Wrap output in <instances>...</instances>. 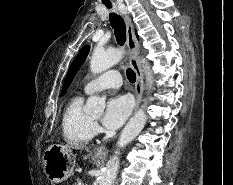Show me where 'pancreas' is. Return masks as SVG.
Masks as SVG:
<instances>
[{"label": "pancreas", "instance_id": "pancreas-1", "mask_svg": "<svg viewBox=\"0 0 233 185\" xmlns=\"http://www.w3.org/2000/svg\"><path fill=\"white\" fill-rule=\"evenodd\" d=\"M73 185H81V180L79 178H77L76 182Z\"/></svg>", "mask_w": 233, "mask_h": 185}]
</instances>
